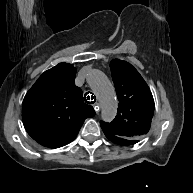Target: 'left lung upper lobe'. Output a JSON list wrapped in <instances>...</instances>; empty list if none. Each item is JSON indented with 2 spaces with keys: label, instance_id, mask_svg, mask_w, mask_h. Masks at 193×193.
I'll return each mask as SVG.
<instances>
[{
  "label": "left lung upper lobe",
  "instance_id": "obj_1",
  "mask_svg": "<svg viewBox=\"0 0 193 193\" xmlns=\"http://www.w3.org/2000/svg\"><path fill=\"white\" fill-rule=\"evenodd\" d=\"M112 79L119 100L117 116L111 123L100 122L105 134L116 140L135 144L148 133L154 112L152 93L139 72L128 62L110 63Z\"/></svg>",
  "mask_w": 193,
  "mask_h": 193
}]
</instances>
